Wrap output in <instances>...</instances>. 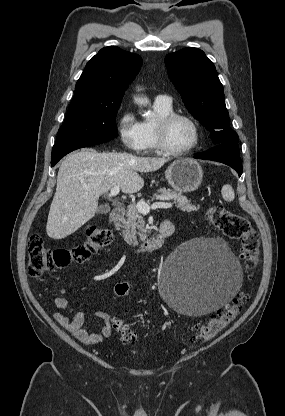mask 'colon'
<instances>
[{
	"instance_id": "5ec220e1",
	"label": "colon",
	"mask_w": 285,
	"mask_h": 416,
	"mask_svg": "<svg viewBox=\"0 0 285 416\" xmlns=\"http://www.w3.org/2000/svg\"><path fill=\"white\" fill-rule=\"evenodd\" d=\"M207 221L219 229L226 237L241 242V258L244 261L248 277H254L258 265L259 238L250 222L243 216L232 213L222 205H213L206 210ZM112 240L109 230L91 224L86 228V239L83 244L71 249L53 248L47 246L42 237L31 235L28 240V274L40 277L45 272L63 268L71 263H81L92 254L100 251ZM129 284L118 283L114 293L117 298H124L129 294ZM248 294L239 293L228 305L214 313L205 323L195 328V339L208 341L226 328L240 313L248 300ZM113 328L120 333L125 343H135L136 336L119 319L112 320Z\"/></svg>"
}]
</instances>
